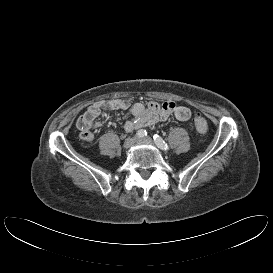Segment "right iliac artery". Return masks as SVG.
<instances>
[{"label":"right iliac artery","instance_id":"obj_1","mask_svg":"<svg viewBox=\"0 0 273 273\" xmlns=\"http://www.w3.org/2000/svg\"><path fill=\"white\" fill-rule=\"evenodd\" d=\"M137 137L139 138H143L147 135V131L144 130V129H141V130H138L137 133H136Z\"/></svg>","mask_w":273,"mask_h":273}]
</instances>
